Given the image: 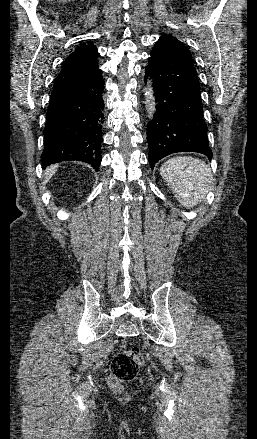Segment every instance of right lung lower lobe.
<instances>
[{"instance_id":"98d812e1","label":"right lung lower lobe","mask_w":257,"mask_h":439,"mask_svg":"<svg viewBox=\"0 0 257 439\" xmlns=\"http://www.w3.org/2000/svg\"><path fill=\"white\" fill-rule=\"evenodd\" d=\"M103 90L100 69L54 87L44 130L42 168L77 160L98 170L102 158Z\"/></svg>"}]
</instances>
